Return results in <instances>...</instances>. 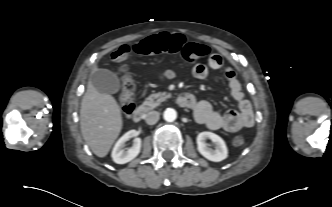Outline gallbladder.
<instances>
[{
	"mask_svg": "<svg viewBox=\"0 0 332 207\" xmlns=\"http://www.w3.org/2000/svg\"><path fill=\"white\" fill-rule=\"evenodd\" d=\"M90 80L100 93L115 94L120 89L118 77L107 69H97L91 74Z\"/></svg>",
	"mask_w": 332,
	"mask_h": 207,
	"instance_id": "bac80fb5",
	"label": "gallbladder"
}]
</instances>
